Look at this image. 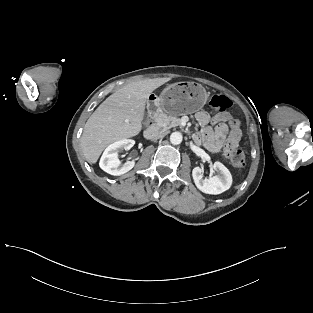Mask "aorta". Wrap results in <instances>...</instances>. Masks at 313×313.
<instances>
[{
    "label": "aorta",
    "instance_id": "1",
    "mask_svg": "<svg viewBox=\"0 0 313 313\" xmlns=\"http://www.w3.org/2000/svg\"><path fill=\"white\" fill-rule=\"evenodd\" d=\"M182 139H183V136L180 132H173L171 135H170V142L173 144V145H178L182 142Z\"/></svg>",
    "mask_w": 313,
    "mask_h": 313
}]
</instances>
